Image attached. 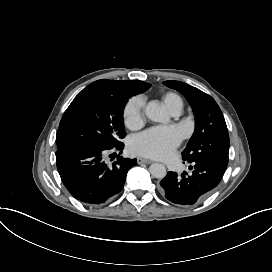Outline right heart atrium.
<instances>
[{"label": "right heart atrium", "instance_id": "d8ad5b80", "mask_svg": "<svg viewBox=\"0 0 272 272\" xmlns=\"http://www.w3.org/2000/svg\"><path fill=\"white\" fill-rule=\"evenodd\" d=\"M144 99L141 96L132 97L124 111L125 123L130 128H138L143 123Z\"/></svg>", "mask_w": 272, "mask_h": 272}]
</instances>
